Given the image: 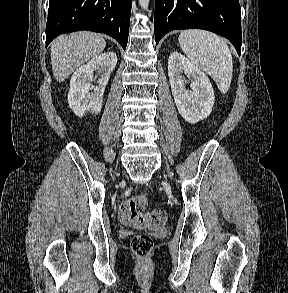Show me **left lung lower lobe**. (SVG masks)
Instances as JSON below:
<instances>
[{"label": "left lung lower lobe", "mask_w": 288, "mask_h": 293, "mask_svg": "<svg viewBox=\"0 0 288 293\" xmlns=\"http://www.w3.org/2000/svg\"><path fill=\"white\" fill-rule=\"evenodd\" d=\"M204 29L227 38L241 53L238 0H155V41L177 29Z\"/></svg>", "instance_id": "0a47b994"}]
</instances>
